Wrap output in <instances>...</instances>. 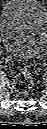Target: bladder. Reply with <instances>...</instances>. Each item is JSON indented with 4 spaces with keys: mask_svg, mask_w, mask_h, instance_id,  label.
<instances>
[{
    "mask_svg": "<svg viewBox=\"0 0 47 129\" xmlns=\"http://www.w3.org/2000/svg\"><path fill=\"white\" fill-rule=\"evenodd\" d=\"M1 41L11 54L31 58L46 47L47 11L38 0H8L0 16Z\"/></svg>",
    "mask_w": 47,
    "mask_h": 129,
    "instance_id": "31cf9c89",
    "label": "bladder"
}]
</instances>
